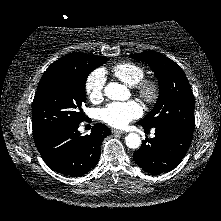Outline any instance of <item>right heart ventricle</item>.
Segmentation results:
<instances>
[{"label": "right heart ventricle", "mask_w": 221, "mask_h": 221, "mask_svg": "<svg viewBox=\"0 0 221 221\" xmlns=\"http://www.w3.org/2000/svg\"><path fill=\"white\" fill-rule=\"evenodd\" d=\"M113 75L128 86H135L145 76V69L134 62L123 61L112 67Z\"/></svg>", "instance_id": "1"}]
</instances>
